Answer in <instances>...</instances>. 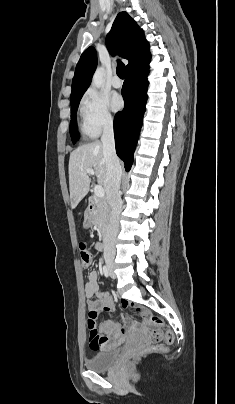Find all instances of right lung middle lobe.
<instances>
[{
    "mask_svg": "<svg viewBox=\"0 0 235 404\" xmlns=\"http://www.w3.org/2000/svg\"><path fill=\"white\" fill-rule=\"evenodd\" d=\"M79 101L80 100L71 102L70 135L73 142L79 139V135L77 132V120H76V112L78 109Z\"/></svg>",
    "mask_w": 235,
    "mask_h": 404,
    "instance_id": "obj_1",
    "label": "right lung middle lobe"
}]
</instances>
